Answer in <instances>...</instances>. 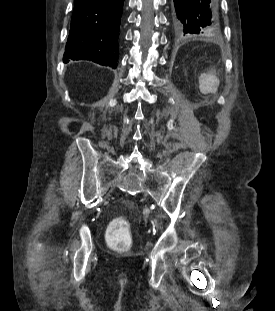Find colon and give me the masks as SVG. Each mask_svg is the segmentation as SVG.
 <instances>
[{
  "label": "colon",
  "mask_w": 275,
  "mask_h": 311,
  "mask_svg": "<svg viewBox=\"0 0 275 311\" xmlns=\"http://www.w3.org/2000/svg\"><path fill=\"white\" fill-rule=\"evenodd\" d=\"M216 82L218 83V80ZM108 240L112 246L118 249L130 247L131 239L128 233V226L123 218H117L110 224Z\"/></svg>",
  "instance_id": "5ec220e1"
}]
</instances>
